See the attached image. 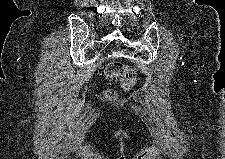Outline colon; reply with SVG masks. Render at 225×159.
I'll use <instances>...</instances> for the list:
<instances>
[{"label": "colon", "mask_w": 225, "mask_h": 159, "mask_svg": "<svg viewBox=\"0 0 225 159\" xmlns=\"http://www.w3.org/2000/svg\"><path fill=\"white\" fill-rule=\"evenodd\" d=\"M106 78L117 80L124 89H132L137 80V75L134 69L128 67L120 61H111L104 68ZM107 96H113V92H106Z\"/></svg>", "instance_id": "1"}]
</instances>
